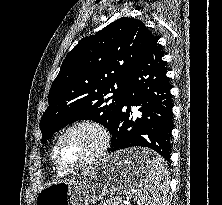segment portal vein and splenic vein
<instances>
[{"label":"portal vein and splenic vein","mask_w":222,"mask_h":205,"mask_svg":"<svg viewBox=\"0 0 222 205\" xmlns=\"http://www.w3.org/2000/svg\"><path fill=\"white\" fill-rule=\"evenodd\" d=\"M134 193H136V190H131V192H129V194H134ZM121 200V202H123V203H126V200H122V199H120Z\"/></svg>","instance_id":"18ae733b"}]
</instances>
